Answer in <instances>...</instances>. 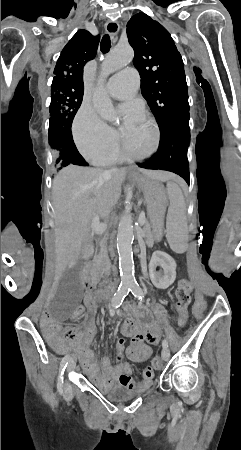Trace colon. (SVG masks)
Masks as SVG:
<instances>
[{
	"label": "colon",
	"mask_w": 241,
	"mask_h": 450,
	"mask_svg": "<svg viewBox=\"0 0 241 450\" xmlns=\"http://www.w3.org/2000/svg\"><path fill=\"white\" fill-rule=\"evenodd\" d=\"M177 299L176 302H179L177 305L178 312L182 316L181 323L183 325H186L188 323V319L190 318L189 315V307L190 301L193 305V312L196 317H203L205 314V307L208 305L209 300L207 297H202L199 293L192 298L190 295V284L187 279H183L180 282L179 288L177 290ZM188 302V305L187 303ZM77 315L82 316L85 313V310L83 307H78L76 310ZM153 367H159V357H154Z\"/></svg>",
	"instance_id": "colon-1"
}]
</instances>
